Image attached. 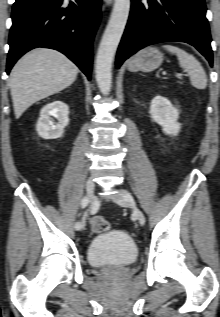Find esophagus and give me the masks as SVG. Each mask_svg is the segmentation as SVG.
I'll return each instance as SVG.
<instances>
[{
	"label": "esophagus",
	"instance_id": "obj_1",
	"mask_svg": "<svg viewBox=\"0 0 220 317\" xmlns=\"http://www.w3.org/2000/svg\"><path fill=\"white\" fill-rule=\"evenodd\" d=\"M112 2H113V0H105V3H106L107 5H111Z\"/></svg>",
	"mask_w": 220,
	"mask_h": 317
}]
</instances>
